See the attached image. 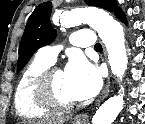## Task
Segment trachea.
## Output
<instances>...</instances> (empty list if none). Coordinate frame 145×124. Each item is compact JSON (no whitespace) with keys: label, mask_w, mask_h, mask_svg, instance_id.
Returning a JSON list of instances; mask_svg holds the SVG:
<instances>
[{"label":"trachea","mask_w":145,"mask_h":124,"mask_svg":"<svg viewBox=\"0 0 145 124\" xmlns=\"http://www.w3.org/2000/svg\"><path fill=\"white\" fill-rule=\"evenodd\" d=\"M94 49H95V50L102 49L101 44H100V43H96V45L94 46Z\"/></svg>","instance_id":"1"}]
</instances>
